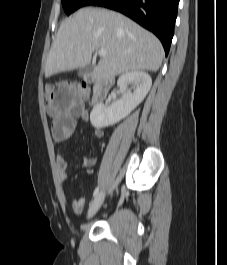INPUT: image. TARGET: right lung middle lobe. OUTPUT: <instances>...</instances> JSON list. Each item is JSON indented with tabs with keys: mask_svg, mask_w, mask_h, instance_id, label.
I'll return each instance as SVG.
<instances>
[{
	"mask_svg": "<svg viewBox=\"0 0 227 265\" xmlns=\"http://www.w3.org/2000/svg\"><path fill=\"white\" fill-rule=\"evenodd\" d=\"M64 11L67 15L71 14L80 7L89 5L93 0H61Z\"/></svg>",
	"mask_w": 227,
	"mask_h": 265,
	"instance_id": "right-lung-middle-lobe-1",
	"label": "right lung middle lobe"
}]
</instances>
